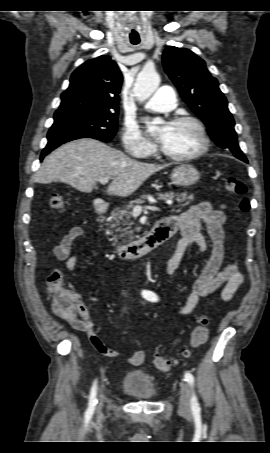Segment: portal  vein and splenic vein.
<instances>
[{"instance_id":"1","label":"portal vein and splenic vein","mask_w":270,"mask_h":453,"mask_svg":"<svg viewBox=\"0 0 270 453\" xmlns=\"http://www.w3.org/2000/svg\"><path fill=\"white\" fill-rule=\"evenodd\" d=\"M109 178H102L100 179V183L101 184H106L108 182ZM167 204L171 205L172 204V201L171 200H168L166 201ZM144 209H147V210H152V211H159L160 209L158 207H155V206H145V207H142L140 205H136L133 207V214L134 215H139L142 210Z\"/></svg>"}]
</instances>
